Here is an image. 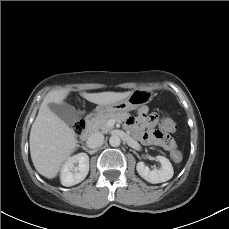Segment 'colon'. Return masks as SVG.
I'll list each match as a JSON object with an SVG mask.
<instances>
[{"mask_svg":"<svg viewBox=\"0 0 229 229\" xmlns=\"http://www.w3.org/2000/svg\"><path fill=\"white\" fill-rule=\"evenodd\" d=\"M72 128L76 134H81L85 129L83 119L76 120ZM175 128V123L172 119L164 118L158 130L155 131L154 136L163 148L171 152L172 159L176 162H180L183 155L181 152L176 151V143L170 135V133L175 131Z\"/></svg>","mask_w":229,"mask_h":229,"instance_id":"1","label":"colon"}]
</instances>
